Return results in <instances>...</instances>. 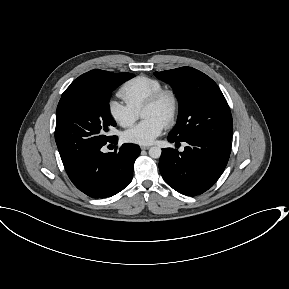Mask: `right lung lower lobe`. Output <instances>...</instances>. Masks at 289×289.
I'll return each instance as SVG.
<instances>
[{
	"label": "right lung lower lobe",
	"mask_w": 289,
	"mask_h": 289,
	"mask_svg": "<svg viewBox=\"0 0 289 289\" xmlns=\"http://www.w3.org/2000/svg\"><path fill=\"white\" fill-rule=\"evenodd\" d=\"M117 140L114 137L108 143ZM105 144L63 162L72 183L93 198H106L122 191L132 180L134 162L140 154L135 144H123L119 150L103 153L101 148Z\"/></svg>",
	"instance_id": "1"
}]
</instances>
